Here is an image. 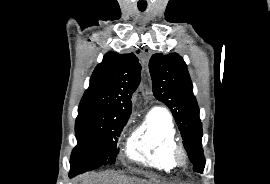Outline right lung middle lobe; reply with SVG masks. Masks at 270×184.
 I'll use <instances>...</instances> for the list:
<instances>
[{
    "mask_svg": "<svg viewBox=\"0 0 270 184\" xmlns=\"http://www.w3.org/2000/svg\"><path fill=\"white\" fill-rule=\"evenodd\" d=\"M127 121L96 116L92 110L79 106L75 123L77 146L70 159V176L115 163L119 150L118 137Z\"/></svg>",
    "mask_w": 270,
    "mask_h": 184,
    "instance_id": "obj_1",
    "label": "right lung middle lobe"
}]
</instances>
